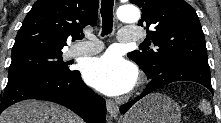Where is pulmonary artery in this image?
<instances>
[{"instance_id": "obj_1", "label": "pulmonary artery", "mask_w": 221, "mask_h": 123, "mask_svg": "<svg viewBox=\"0 0 221 123\" xmlns=\"http://www.w3.org/2000/svg\"><path fill=\"white\" fill-rule=\"evenodd\" d=\"M118 40L122 43H135L141 40V33L135 28H123L119 32ZM103 44L95 38L75 45L70 54L73 56H88L100 52Z\"/></svg>"}]
</instances>
